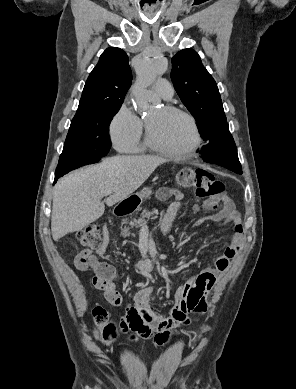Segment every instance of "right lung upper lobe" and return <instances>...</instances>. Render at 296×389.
Instances as JSON below:
<instances>
[{
  "mask_svg": "<svg viewBox=\"0 0 296 389\" xmlns=\"http://www.w3.org/2000/svg\"><path fill=\"white\" fill-rule=\"evenodd\" d=\"M131 82L127 54L120 48L106 49L85 83L73 120L96 110L121 106Z\"/></svg>",
  "mask_w": 296,
  "mask_h": 389,
  "instance_id": "obj_1",
  "label": "right lung upper lobe"
}]
</instances>
